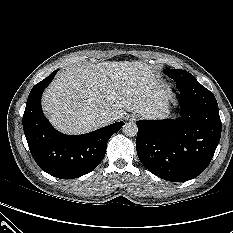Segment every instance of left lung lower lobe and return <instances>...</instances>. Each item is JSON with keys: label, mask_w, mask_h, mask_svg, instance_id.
<instances>
[{"label": "left lung lower lobe", "mask_w": 233, "mask_h": 233, "mask_svg": "<svg viewBox=\"0 0 233 233\" xmlns=\"http://www.w3.org/2000/svg\"><path fill=\"white\" fill-rule=\"evenodd\" d=\"M176 87L181 117L137 121L136 149L151 173L182 182L197 177L209 165L220 140L221 120L214 95L197 80L179 82Z\"/></svg>", "instance_id": "1"}]
</instances>
